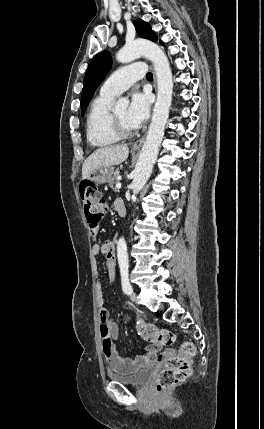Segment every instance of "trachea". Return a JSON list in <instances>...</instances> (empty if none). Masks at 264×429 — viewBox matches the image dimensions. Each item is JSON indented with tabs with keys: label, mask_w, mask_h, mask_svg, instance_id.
Here are the masks:
<instances>
[{
	"label": "trachea",
	"mask_w": 264,
	"mask_h": 429,
	"mask_svg": "<svg viewBox=\"0 0 264 429\" xmlns=\"http://www.w3.org/2000/svg\"><path fill=\"white\" fill-rule=\"evenodd\" d=\"M146 78L148 79V80H152L153 79V74L152 73H147L146 74Z\"/></svg>",
	"instance_id": "1"
}]
</instances>
